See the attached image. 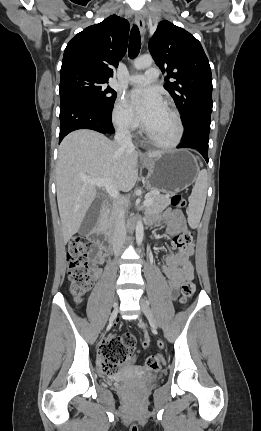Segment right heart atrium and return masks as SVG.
<instances>
[{
	"mask_svg": "<svg viewBox=\"0 0 261 431\" xmlns=\"http://www.w3.org/2000/svg\"><path fill=\"white\" fill-rule=\"evenodd\" d=\"M112 122L116 129L123 132H131L137 128V121L122 98L115 103L112 111Z\"/></svg>",
	"mask_w": 261,
	"mask_h": 431,
	"instance_id": "1",
	"label": "right heart atrium"
}]
</instances>
